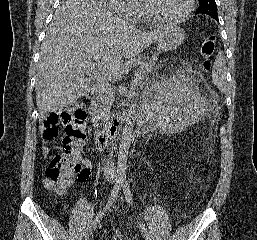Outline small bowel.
<instances>
[{
    "mask_svg": "<svg viewBox=\"0 0 257 240\" xmlns=\"http://www.w3.org/2000/svg\"><path fill=\"white\" fill-rule=\"evenodd\" d=\"M43 139L46 145L42 148V154L44 156H47L50 153V147L47 144L50 143L52 140L47 139L45 135ZM82 165L85 168L86 173L84 176L78 178L80 182H84L88 179L91 169V163L89 160H83Z\"/></svg>",
    "mask_w": 257,
    "mask_h": 240,
    "instance_id": "1",
    "label": "small bowel"
}]
</instances>
